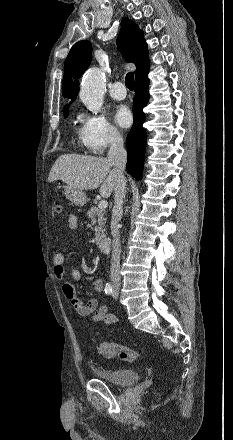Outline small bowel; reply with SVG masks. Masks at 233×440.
I'll use <instances>...</instances> for the list:
<instances>
[{
  "instance_id": "1",
  "label": "small bowel",
  "mask_w": 233,
  "mask_h": 440,
  "mask_svg": "<svg viewBox=\"0 0 233 440\" xmlns=\"http://www.w3.org/2000/svg\"><path fill=\"white\" fill-rule=\"evenodd\" d=\"M67 220L70 230H75L78 223L77 216L74 213H70ZM53 264L54 274L62 284L63 294L78 316H91L93 323L101 322L105 325H111L118 322V318L115 315L108 314L107 305L99 304V301L96 298L83 301L76 295L73 285L66 280V275L69 273L70 277L76 282L81 280L82 275L77 268L65 265V255L63 252H57L54 254ZM91 286L96 292H101L104 284L102 279L94 277L91 280Z\"/></svg>"
}]
</instances>
